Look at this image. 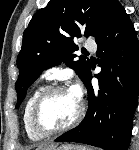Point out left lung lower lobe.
Returning a JSON list of instances; mask_svg holds the SVG:
<instances>
[{
  "mask_svg": "<svg viewBox=\"0 0 139 150\" xmlns=\"http://www.w3.org/2000/svg\"><path fill=\"white\" fill-rule=\"evenodd\" d=\"M101 72L99 90L85 81L89 106L84 121L55 141L84 143L105 150H127L139 94V43L134 26L117 1L95 39Z\"/></svg>",
  "mask_w": 139,
  "mask_h": 150,
  "instance_id": "1",
  "label": "left lung lower lobe"
}]
</instances>
